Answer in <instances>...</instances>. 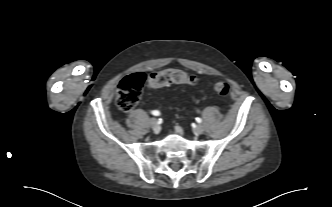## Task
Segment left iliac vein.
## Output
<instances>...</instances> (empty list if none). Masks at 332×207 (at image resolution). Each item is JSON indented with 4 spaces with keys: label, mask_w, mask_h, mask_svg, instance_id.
<instances>
[{
    "label": "left iliac vein",
    "mask_w": 332,
    "mask_h": 207,
    "mask_svg": "<svg viewBox=\"0 0 332 207\" xmlns=\"http://www.w3.org/2000/svg\"><path fill=\"white\" fill-rule=\"evenodd\" d=\"M203 132H204V127L202 125H197L194 128V133L197 135L202 134Z\"/></svg>",
    "instance_id": "1"
}]
</instances>
